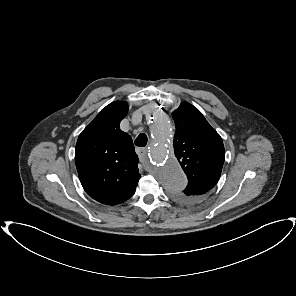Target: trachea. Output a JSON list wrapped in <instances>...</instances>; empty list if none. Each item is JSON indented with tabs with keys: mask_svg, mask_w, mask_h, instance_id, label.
<instances>
[{
	"mask_svg": "<svg viewBox=\"0 0 296 296\" xmlns=\"http://www.w3.org/2000/svg\"><path fill=\"white\" fill-rule=\"evenodd\" d=\"M148 138L146 134L141 133L138 135V137L135 140V145L138 147H145L147 144Z\"/></svg>",
	"mask_w": 296,
	"mask_h": 296,
	"instance_id": "obj_1",
	"label": "trachea"
}]
</instances>
